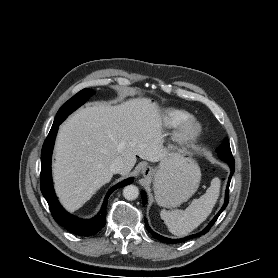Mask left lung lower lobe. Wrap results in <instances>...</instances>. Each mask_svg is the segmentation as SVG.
Returning a JSON list of instances; mask_svg holds the SVG:
<instances>
[{
    "instance_id": "left-lung-lower-lobe-1",
    "label": "left lung lower lobe",
    "mask_w": 278,
    "mask_h": 278,
    "mask_svg": "<svg viewBox=\"0 0 278 278\" xmlns=\"http://www.w3.org/2000/svg\"><path fill=\"white\" fill-rule=\"evenodd\" d=\"M227 163V162H226ZM229 166H230V169H231V173H230V176H229V179H228V184H227V189H226V195H225V203L223 205V207L221 208V210L217 213V215L213 218V220L209 223V225L201 232L197 233V234H194V235H191V236H187L185 238H182V239H170V238H166V237H163L157 233H155L148 225L147 223V220L145 218V225H146V228L147 230L156 238L158 239L159 241H162V242H165V243H170V244H173V243H180L182 241H186V240H189L191 238H194V237H197V236H201L203 234H206L209 229L212 227V225L215 223V221L217 220V218L219 217V215L221 214V212L226 208L227 204H228V201H229V185H230V181H231V177L234 173V170H235V167H234V162H228ZM142 195V201H143V205L146 204V194L145 192L143 191L141 193Z\"/></svg>"
}]
</instances>
